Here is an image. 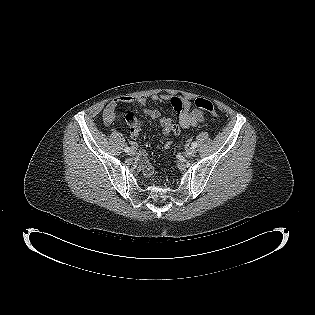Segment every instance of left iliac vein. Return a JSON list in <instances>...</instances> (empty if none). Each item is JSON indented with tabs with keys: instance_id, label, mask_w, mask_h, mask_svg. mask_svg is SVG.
Returning <instances> with one entry per match:
<instances>
[{
	"instance_id": "4c4485c4",
	"label": "left iliac vein",
	"mask_w": 315,
	"mask_h": 315,
	"mask_svg": "<svg viewBox=\"0 0 315 315\" xmlns=\"http://www.w3.org/2000/svg\"><path fill=\"white\" fill-rule=\"evenodd\" d=\"M195 154L196 150L193 147H190L185 151L186 157H193Z\"/></svg>"
}]
</instances>
